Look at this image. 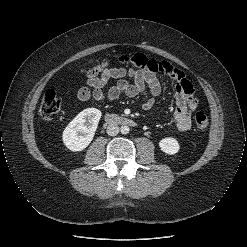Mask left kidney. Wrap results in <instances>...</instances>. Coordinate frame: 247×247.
<instances>
[{
	"label": "left kidney",
	"mask_w": 247,
	"mask_h": 247,
	"mask_svg": "<svg viewBox=\"0 0 247 247\" xmlns=\"http://www.w3.org/2000/svg\"><path fill=\"white\" fill-rule=\"evenodd\" d=\"M159 147L164 153L169 154V155H174L178 153L180 149V145L178 141L172 137H166L160 140Z\"/></svg>",
	"instance_id": "5707ae66"
}]
</instances>
